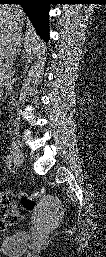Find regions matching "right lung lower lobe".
I'll return each mask as SVG.
<instances>
[{
    "mask_svg": "<svg viewBox=\"0 0 106 257\" xmlns=\"http://www.w3.org/2000/svg\"><path fill=\"white\" fill-rule=\"evenodd\" d=\"M1 4H20L33 23L38 35L48 41L49 0H0Z\"/></svg>",
    "mask_w": 106,
    "mask_h": 257,
    "instance_id": "1",
    "label": "right lung lower lobe"
}]
</instances>
